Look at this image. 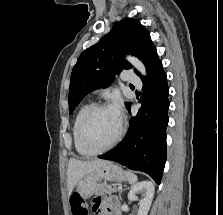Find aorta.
Listing matches in <instances>:
<instances>
[{
    "mask_svg": "<svg viewBox=\"0 0 223 215\" xmlns=\"http://www.w3.org/2000/svg\"><path fill=\"white\" fill-rule=\"evenodd\" d=\"M126 60H128V62H130L134 68H137V70L141 72L142 76H146V68L144 64L138 60V58H134V56H127Z\"/></svg>",
    "mask_w": 223,
    "mask_h": 215,
    "instance_id": "762f6f07",
    "label": "aorta"
}]
</instances>
